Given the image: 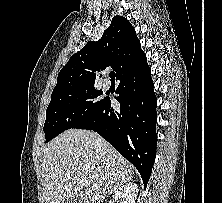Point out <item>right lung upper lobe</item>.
<instances>
[{
  "label": "right lung upper lobe",
  "instance_id": "1",
  "mask_svg": "<svg viewBox=\"0 0 222 203\" xmlns=\"http://www.w3.org/2000/svg\"><path fill=\"white\" fill-rule=\"evenodd\" d=\"M146 61L135 29L122 16H115L99 41H89L72 55L58 74L53 90L94 85L96 72L111 66L116 78Z\"/></svg>",
  "mask_w": 222,
  "mask_h": 203
}]
</instances>
